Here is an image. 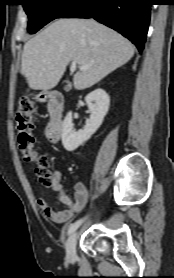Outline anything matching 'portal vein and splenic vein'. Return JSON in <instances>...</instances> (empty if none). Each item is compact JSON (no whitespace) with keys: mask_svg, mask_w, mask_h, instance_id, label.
<instances>
[{"mask_svg":"<svg viewBox=\"0 0 174 278\" xmlns=\"http://www.w3.org/2000/svg\"><path fill=\"white\" fill-rule=\"evenodd\" d=\"M76 64H77V63H76L75 61H72L71 67H70V70H71L72 72H74V71L76 70ZM88 68H89L88 65H83V66L80 67V70H81V71H86Z\"/></svg>","mask_w":174,"mask_h":278,"instance_id":"18ae733b","label":"portal vein and splenic vein"}]
</instances>
